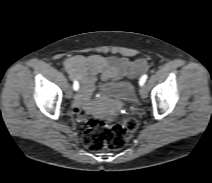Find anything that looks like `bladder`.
Returning a JSON list of instances; mask_svg holds the SVG:
<instances>
[{
    "label": "bladder",
    "mask_w": 212,
    "mask_h": 183,
    "mask_svg": "<svg viewBox=\"0 0 212 183\" xmlns=\"http://www.w3.org/2000/svg\"><path fill=\"white\" fill-rule=\"evenodd\" d=\"M102 90L108 96L127 101L134 97L133 85L124 81L103 84Z\"/></svg>",
    "instance_id": "31cf9c89"
}]
</instances>
